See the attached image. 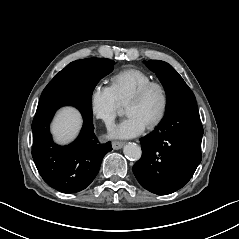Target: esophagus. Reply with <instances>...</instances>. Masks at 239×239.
Returning <instances> with one entry per match:
<instances>
[{
  "label": "esophagus",
  "instance_id": "34e87169",
  "mask_svg": "<svg viewBox=\"0 0 239 239\" xmlns=\"http://www.w3.org/2000/svg\"><path fill=\"white\" fill-rule=\"evenodd\" d=\"M124 146V142L121 141H113L112 142V147L115 150L121 149Z\"/></svg>",
  "mask_w": 239,
  "mask_h": 239
}]
</instances>
